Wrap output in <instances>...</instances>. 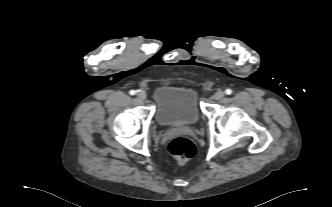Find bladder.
<instances>
[{"instance_id": "bladder-1", "label": "bladder", "mask_w": 332, "mask_h": 207, "mask_svg": "<svg viewBox=\"0 0 332 207\" xmlns=\"http://www.w3.org/2000/svg\"><path fill=\"white\" fill-rule=\"evenodd\" d=\"M153 99L160 126L192 125L201 117L199 96L192 88L161 86L153 92Z\"/></svg>"}]
</instances>
